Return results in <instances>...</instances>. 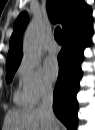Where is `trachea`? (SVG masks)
<instances>
[{
	"label": "trachea",
	"mask_w": 95,
	"mask_h": 130,
	"mask_svg": "<svg viewBox=\"0 0 95 130\" xmlns=\"http://www.w3.org/2000/svg\"><path fill=\"white\" fill-rule=\"evenodd\" d=\"M54 38L59 44H62V31L60 27H56L54 31Z\"/></svg>",
	"instance_id": "3493384b"
}]
</instances>
